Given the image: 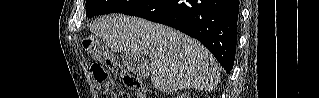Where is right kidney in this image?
Wrapping results in <instances>:
<instances>
[{"instance_id": "ca27d5eb", "label": "right kidney", "mask_w": 319, "mask_h": 98, "mask_svg": "<svg viewBox=\"0 0 319 98\" xmlns=\"http://www.w3.org/2000/svg\"><path fill=\"white\" fill-rule=\"evenodd\" d=\"M179 98H188V96H186V95L183 96V95H182V96H180Z\"/></svg>"}]
</instances>
